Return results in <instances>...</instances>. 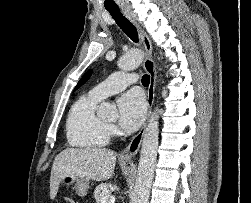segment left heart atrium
I'll return each instance as SVG.
<instances>
[{
  "label": "left heart atrium",
  "instance_id": "1",
  "mask_svg": "<svg viewBox=\"0 0 251 203\" xmlns=\"http://www.w3.org/2000/svg\"><path fill=\"white\" fill-rule=\"evenodd\" d=\"M119 123L127 131L138 129L146 116L147 105L143 95L131 90L120 96L117 102Z\"/></svg>",
  "mask_w": 251,
  "mask_h": 203
}]
</instances>
